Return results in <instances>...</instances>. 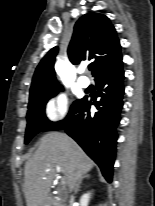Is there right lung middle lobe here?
<instances>
[{
    "label": "right lung middle lobe",
    "instance_id": "dd1d6c3e",
    "mask_svg": "<svg viewBox=\"0 0 155 206\" xmlns=\"http://www.w3.org/2000/svg\"><path fill=\"white\" fill-rule=\"evenodd\" d=\"M61 87H52L41 93L29 97L27 112V128L25 134V144H27L37 133L52 130L59 122H51L45 115V105L47 101L55 96ZM79 100L71 106L70 112L76 106ZM68 114V115H69Z\"/></svg>",
    "mask_w": 155,
    "mask_h": 206
}]
</instances>
